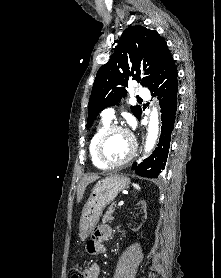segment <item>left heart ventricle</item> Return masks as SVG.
Returning <instances> with one entry per match:
<instances>
[{
	"label": "left heart ventricle",
	"instance_id": "b2bd125f",
	"mask_svg": "<svg viewBox=\"0 0 221 278\" xmlns=\"http://www.w3.org/2000/svg\"><path fill=\"white\" fill-rule=\"evenodd\" d=\"M132 148V141L128 134L122 131L111 133L103 146L104 158L112 163L125 159Z\"/></svg>",
	"mask_w": 221,
	"mask_h": 278
}]
</instances>
